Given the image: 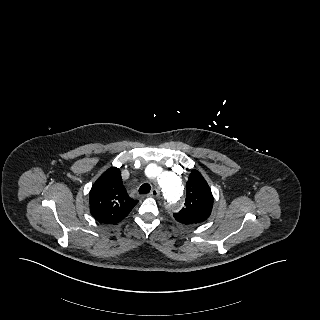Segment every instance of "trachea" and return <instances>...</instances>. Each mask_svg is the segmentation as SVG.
Masks as SVG:
<instances>
[{"label": "trachea", "instance_id": "3493384b", "mask_svg": "<svg viewBox=\"0 0 320 320\" xmlns=\"http://www.w3.org/2000/svg\"><path fill=\"white\" fill-rule=\"evenodd\" d=\"M150 190H151V187H150V185L147 184V183H144V184L141 185V187L139 188V192H140L141 194H147V193L150 192Z\"/></svg>", "mask_w": 320, "mask_h": 320}]
</instances>
